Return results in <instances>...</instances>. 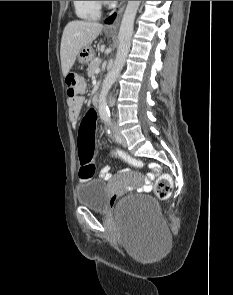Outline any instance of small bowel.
Segmentation results:
<instances>
[{
  "label": "small bowel",
  "mask_w": 233,
  "mask_h": 295,
  "mask_svg": "<svg viewBox=\"0 0 233 295\" xmlns=\"http://www.w3.org/2000/svg\"><path fill=\"white\" fill-rule=\"evenodd\" d=\"M67 104H68L69 119L72 122V124L75 125L80 114H81L82 108H83V104H84L83 97L80 96L75 99H68ZM149 168L151 170V172L149 174V178L153 179L158 174L159 166L157 164L152 163L149 165ZM128 171H129L128 169L121 170V172H128ZM101 177L104 180L111 179L112 175L110 173L109 165H106L103 167L102 172H101ZM151 189H152V186L150 184H146V185L142 186L141 188H139V191L140 192H149V191H151Z\"/></svg>",
  "instance_id": "small-bowel-1"
}]
</instances>
